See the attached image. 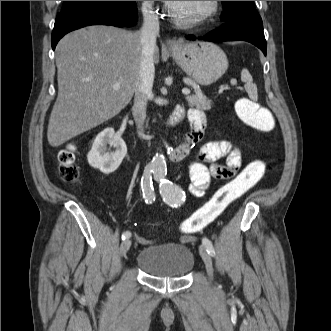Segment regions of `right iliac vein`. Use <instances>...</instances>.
I'll use <instances>...</instances> for the list:
<instances>
[{"mask_svg":"<svg viewBox=\"0 0 331 331\" xmlns=\"http://www.w3.org/2000/svg\"><path fill=\"white\" fill-rule=\"evenodd\" d=\"M131 246V240L125 239L120 245V255L125 256Z\"/></svg>","mask_w":331,"mask_h":331,"instance_id":"1","label":"right iliac vein"}]
</instances>
